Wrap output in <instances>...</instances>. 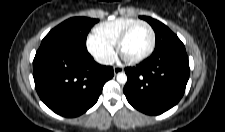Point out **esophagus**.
<instances>
[{
	"label": "esophagus",
	"mask_w": 225,
	"mask_h": 132,
	"mask_svg": "<svg viewBox=\"0 0 225 132\" xmlns=\"http://www.w3.org/2000/svg\"><path fill=\"white\" fill-rule=\"evenodd\" d=\"M113 70H114V74L115 75L123 72V68L122 67H119V66H114Z\"/></svg>",
	"instance_id": "1"
}]
</instances>
